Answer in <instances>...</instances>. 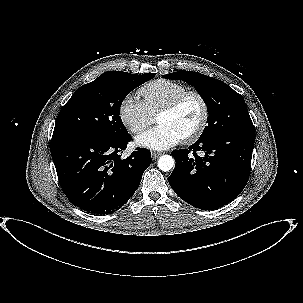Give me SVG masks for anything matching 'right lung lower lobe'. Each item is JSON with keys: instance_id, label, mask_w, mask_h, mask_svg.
Listing matches in <instances>:
<instances>
[{"instance_id": "right-lung-lower-lobe-1", "label": "right lung lower lobe", "mask_w": 303, "mask_h": 303, "mask_svg": "<svg viewBox=\"0 0 303 303\" xmlns=\"http://www.w3.org/2000/svg\"><path fill=\"white\" fill-rule=\"evenodd\" d=\"M129 141V134L117 139L52 138L50 150L59 183L73 205L105 215L115 212L133 196L151 164V153L137 148L122 159Z\"/></svg>"}]
</instances>
